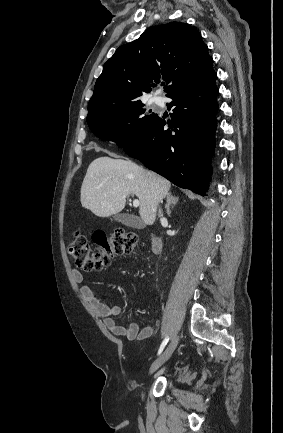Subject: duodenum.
Instances as JSON below:
<instances>
[{"label":"duodenum","mask_w":283,"mask_h":433,"mask_svg":"<svg viewBox=\"0 0 283 433\" xmlns=\"http://www.w3.org/2000/svg\"><path fill=\"white\" fill-rule=\"evenodd\" d=\"M151 249L153 253L160 254L163 249V243L162 240L158 237H152L151 238Z\"/></svg>","instance_id":"1"}]
</instances>
